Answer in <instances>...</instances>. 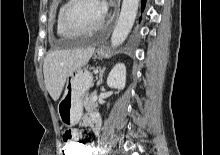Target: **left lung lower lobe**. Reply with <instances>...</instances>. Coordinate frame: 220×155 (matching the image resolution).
I'll return each instance as SVG.
<instances>
[{
	"label": "left lung lower lobe",
	"mask_w": 220,
	"mask_h": 155,
	"mask_svg": "<svg viewBox=\"0 0 220 155\" xmlns=\"http://www.w3.org/2000/svg\"><path fill=\"white\" fill-rule=\"evenodd\" d=\"M146 0H142V11L144 10Z\"/></svg>",
	"instance_id": "1"
}]
</instances>
